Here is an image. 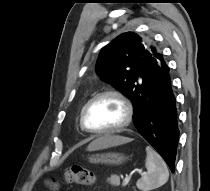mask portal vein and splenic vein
<instances>
[{
    "mask_svg": "<svg viewBox=\"0 0 210 191\" xmlns=\"http://www.w3.org/2000/svg\"><path fill=\"white\" fill-rule=\"evenodd\" d=\"M137 172H139L140 174H142V171H140V170H137ZM129 181H130V176H126V177L123 179L122 185H123V186H126V185L129 183Z\"/></svg>",
    "mask_w": 210,
    "mask_h": 191,
    "instance_id": "1",
    "label": "portal vein and splenic vein"
}]
</instances>
